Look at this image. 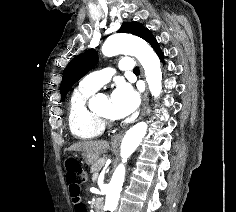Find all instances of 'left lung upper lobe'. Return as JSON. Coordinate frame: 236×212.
I'll return each instance as SVG.
<instances>
[{
    "label": "left lung upper lobe",
    "mask_w": 236,
    "mask_h": 212,
    "mask_svg": "<svg viewBox=\"0 0 236 212\" xmlns=\"http://www.w3.org/2000/svg\"><path fill=\"white\" fill-rule=\"evenodd\" d=\"M118 32L134 34L144 40L150 33L147 28H144L143 25L138 22H124ZM97 61L98 54L94 49H89L84 53L77 55L70 61L65 68L62 77L60 88L62 100L65 99L66 94L71 87L97 64Z\"/></svg>",
    "instance_id": "1"
}]
</instances>
